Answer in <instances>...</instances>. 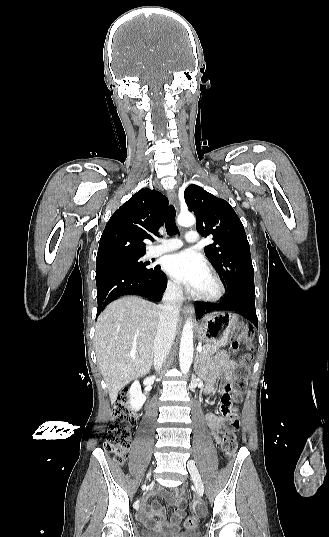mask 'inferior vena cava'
Returning a JSON list of instances; mask_svg holds the SVG:
<instances>
[{"instance_id":"obj_1","label":"inferior vena cava","mask_w":329,"mask_h":537,"mask_svg":"<svg viewBox=\"0 0 329 537\" xmlns=\"http://www.w3.org/2000/svg\"><path fill=\"white\" fill-rule=\"evenodd\" d=\"M183 302V291L180 285L167 287L160 306L157 333L154 340V367L158 372L165 362L175 336L179 311Z\"/></svg>"}]
</instances>
